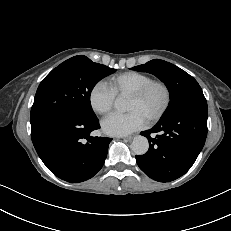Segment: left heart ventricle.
Masks as SVG:
<instances>
[{
	"instance_id": "obj_1",
	"label": "left heart ventricle",
	"mask_w": 231,
	"mask_h": 231,
	"mask_svg": "<svg viewBox=\"0 0 231 231\" xmlns=\"http://www.w3.org/2000/svg\"><path fill=\"white\" fill-rule=\"evenodd\" d=\"M163 92L160 88H153L143 100L129 97L127 103L128 111H139L146 118L154 114L163 103Z\"/></svg>"
}]
</instances>
